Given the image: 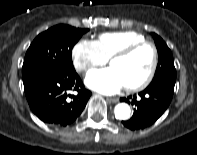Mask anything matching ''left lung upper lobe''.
Listing matches in <instances>:
<instances>
[{
  "label": "left lung upper lobe",
  "mask_w": 197,
  "mask_h": 155,
  "mask_svg": "<svg viewBox=\"0 0 197 155\" xmlns=\"http://www.w3.org/2000/svg\"><path fill=\"white\" fill-rule=\"evenodd\" d=\"M152 36L158 50L159 62L150 85L164 83L174 86L176 82V69L172 53L161 37L155 33H152Z\"/></svg>",
  "instance_id": "left-lung-upper-lobe-1"
}]
</instances>
